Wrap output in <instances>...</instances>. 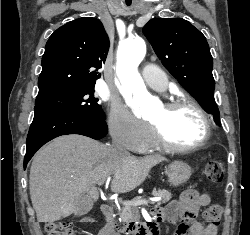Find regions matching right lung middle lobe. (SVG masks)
<instances>
[{
    "label": "right lung middle lobe",
    "instance_id": "right-lung-middle-lobe-1",
    "mask_svg": "<svg viewBox=\"0 0 250 235\" xmlns=\"http://www.w3.org/2000/svg\"><path fill=\"white\" fill-rule=\"evenodd\" d=\"M94 86L37 97L34 109L71 111L105 119L102 107L94 97Z\"/></svg>",
    "mask_w": 250,
    "mask_h": 235
}]
</instances>
